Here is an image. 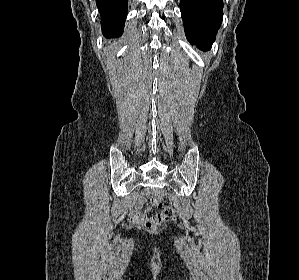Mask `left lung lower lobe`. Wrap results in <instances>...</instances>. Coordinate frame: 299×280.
Returning a JSON list of instances; mask_svg holds the SVG:
<instances>
[{
	"label": "left lung lower lobe",
	"instance_id": "obj_1",
	"mask_svg": "<svg viewBox=\"0 0 299 280\" xmlns=\"http://www.w3.org/2000/svg\"><path fill=\"white\" fill-rule=\"evenodd\" d=\"M188 41L203 51L210 50L223 18V0H180Z\"/></svg>",
	"mask_w": 299,
	"mask_h": 280
}]
</instances>
